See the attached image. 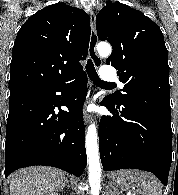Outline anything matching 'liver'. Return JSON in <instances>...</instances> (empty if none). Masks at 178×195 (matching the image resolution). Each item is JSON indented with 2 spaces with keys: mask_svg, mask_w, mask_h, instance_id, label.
<instances>
[{
  "mask_svg": "<svg viewBox=\"0 0 178 195\" xmlns=\"http://www.w3.org/2000/svg\"><path fill=\"white\" fill-rule=\"evenodd\" d=\"M62 170L44 166L19 169L11 175L10 195H44L65 184Z\"/></svg>",
  "mask_w": 178,
  "mask_h": 195,
  "instance_id": "liver-1",
  "label": "liver"
}]
</instances>
